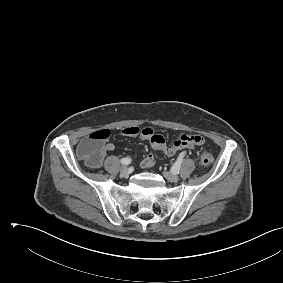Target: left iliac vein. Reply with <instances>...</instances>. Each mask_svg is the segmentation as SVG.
<instances>
[{
	"mask_svg": "<svg viewBox=\"0 0 283 283\" xmlns=\"http://www.w3.org/2000/svg\"><path fill=\"white\" fill-rule=\"evenodd\" d=\"M163 176L170 182H177L179 180V176L170 172H163Z\"/></svg>",
	"mask_w": 283,
	"mask_h": 283,
	"instance_id": "obj_1",
	"label": "left iliac vein"
}]
</instances>
